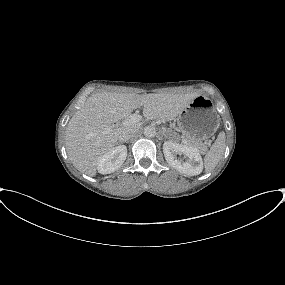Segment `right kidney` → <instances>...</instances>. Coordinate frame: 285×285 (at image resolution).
<instances>
[{
	"label": "right kidney",
	"instance_id": "obj_1",
	"mask_svg": "<svg viewBox=\"0 0 285 285\" xmlns=\"http://www.w3.org/2000/svg\"><path fill=\"white\" fill-rule=\"evenodd\" d=\"M127 157V148L124 145L117 146L97 161V170L101 174H110L119 169Z\"/></svg>",
	"mask_w": 285,
	"mask_h": 285
}]
</instances>
